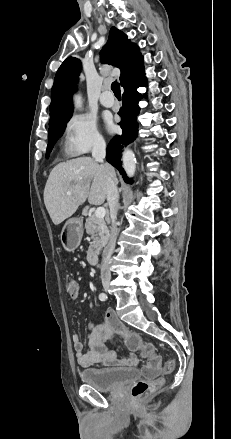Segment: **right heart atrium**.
Instances as JSON below:
<instances>
[{
  "instance_id": "right-heart-atrium-1",
  "label": "right heart atrium",
  "mask_w": 231,
  "mask_h": 439,
  "mask_svg": "<svg viewBox=\"0 0 231 439\" xmlns=\"http://www.w3.org/2000/svg\"><path fill=\"white\" fill-rule=\"evenodd\" d=\"M65 149L69 155L79 156L92 150L103 149L106 141L100 133L95 119L89 115H73L66 123Z\"/></svg>"
}]
</instances>
